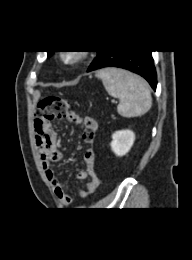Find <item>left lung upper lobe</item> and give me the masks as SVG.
Segmentation results:
<instances>
[{"label": "left lung upper lobe", "instance_id": "1", "mask_svg": "<svg viewBox=\"0 0 192 260\" xmlns=\"http://www.w3.org/2000/svg\"><path fill=\"white\" fill-rule=\"evenodd\" d=\"M48 52V57H50L53 53V51H47ZM99 53V51H97Z\"/></svg>", "mask_w": 192, "mask_h": 260}]
</instances>
